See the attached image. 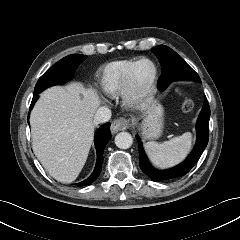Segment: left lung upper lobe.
<instances>
[{
  "label": "left lung upper lobe",
  "mask_w": 240,
  "mask_h": 240,
  "mask_svg": "<svg viewBox=\"0 0 240 240\" xmlns=\"http://www.w3.org/2000/svg\"><path fill=\"white\" fill-rule=\"evenodd\" d=\"M158 57L162 75L158 79L157 87L165 89L172 81L176 80H198V74L171 48L159 45L152 49Z\"/></svg>",
  "instance_id": "1"
}]
</instances>
